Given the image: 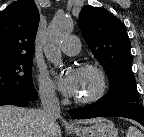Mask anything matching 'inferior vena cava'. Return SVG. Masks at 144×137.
<instances>
[{
    "mask_svg": "<svg viewBox=\"0 0 144 137\" xmlns=\"http://www.w3.org/2000/svg\"><path fill=\"white\" fill-rule=\"evenodd\" d=\"M43 116L48 126H53L56 119L60 117V104L53 92H46L42 97Z\"/></svg>",
    "mask_w": 144,
    "mask_h": 137,
    "instance_id": "602c4592",
    "label": "inferior vena cava"
}]
</instances>
